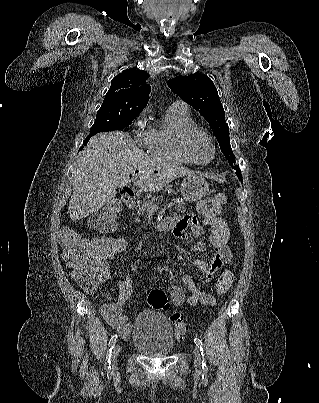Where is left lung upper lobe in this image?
I'll list each match as a JSON object with an SVG mask.
<instances>
[{
  "label": "left lung upper lobe",
  "instance_id": "obj_1",
  "mask_svg": "<svg viewBox=\"0 0 319 403\" xmlns=\"http://www.w3.org/2000/svg\"><path fill=\"white\" fill-rule=\"evenodd\" d=\"M171 91L196 109L209 123L216 135L221 152L228 160L239 180L241 170L236 165L231 149L229 128L225 122V112L213 81L203 74L177 76L167 82Z\"/></svg>",
  "mask_w": 319,
  "mask_h": 403
}]
</instances>
